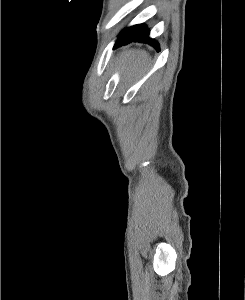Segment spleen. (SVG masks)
I'll return each mask as SVG.
<instances>
[{
  "label": "spleen",
  "instance_id": "1",
  "mask_svg": "<svg viewBox=\"0 0 245 300\" xmlns=\"http://www.w3.org/2000/svg\"><path fill=\"white\" fill-rule=\"evenodd\" d=\"M148 59H149L148 55L145 51H140L137 53H134L133 51H129V53L127 55V61L131 66H133V65L141 66Z\"/></svg>",
  "mask_w": 245,
  "mask_h": 300
}]
</instances>
